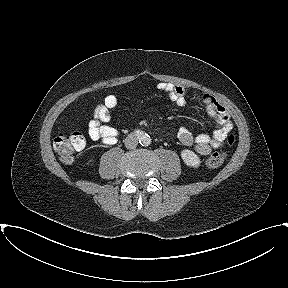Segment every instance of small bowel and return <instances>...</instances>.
Segmentation results:
<instances>
[{"mask_svg":"<svg viewBox=\"0 0 288 288\" xmlns=\"http://www.w3.org/2000/svg\"><path fill=\"white\" fill-rule=\"evenodd\" d=\"M157 89L165 93L177 106L182 107L187 104L185 87L168 82H159ZM200 99L206 112L216 124L213 134L201 133L193 136L189 129L182 127L179 129L177 137L183 145L193 147L201 155H209L212 150L222 147L232 129V123L226 108L219 104L211 95L203 93ZM117 104L118 97L116 95H108L103 103L95 108L93 118L88 124V133L93 141L103 145H113L117 142L118 130L107 125L111 119V111Z\"/></svg>","mask_w":288,"mask_h":288,"instance_id":"small-bowel-1","label":"small bowel"}]
</instances>
